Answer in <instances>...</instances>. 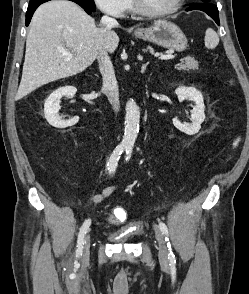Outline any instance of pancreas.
Masks as SVG:
<instances>
[{"instance_id":"obj_1","label":"pancreas","mask_w":249,"mask_h":294,"mask_svg":"<svg viewBox=\"0 0 249 294\" xmlns=\"http://www.w3.org/2000/svg\"><path fill=\"white\" fill-rule=\"evenodd\" d=\"M199 67L198 62L193 57H186L181 63L176 65L178 70L190 71L197 70Z\"/></svg>"}]
</instances>
